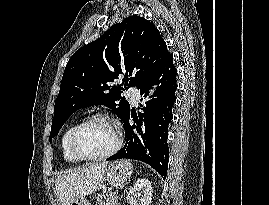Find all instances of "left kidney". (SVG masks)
Returning a JSON list of instances; mask_svg holds the SVG:
<instances>
[{
    "mask_svg": "<svg viewBox=\"0 0 269 205\" xmlns=\"http://www.w3.org/2000/svg\"><path fill=\"white\" fill-rule=\"evenodd\" d=\"M130 205H150L152 201V186L148 179L137 180L126 197Z\"/></svg>",
    "mask_w": 269,
    "mask_h": 205,
    "instance_id": "left-kidney-1",
    "label": "left kidney"
}]
</instances>
